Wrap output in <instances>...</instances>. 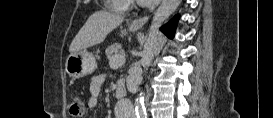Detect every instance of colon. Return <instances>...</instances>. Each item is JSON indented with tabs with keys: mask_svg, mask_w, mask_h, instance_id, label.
Listing matches in <instances>:
<instances>
[{
	"mask_svg": "<svg viewBox=\"0 0 273 118\" xmlns=\"http://www.w3.org/2000/svg\"><path fill=\"white\" fill-rule=\"evenodd\" d=\"M84 102L78 95H74L70 102V113L72 116L79 117L84 113Z\"/></svg>",
	"mask_w": 273,
	"mask_h": 118,
	"instance_id": "obj_1",
	"label": "colon"
}]
</instances>
